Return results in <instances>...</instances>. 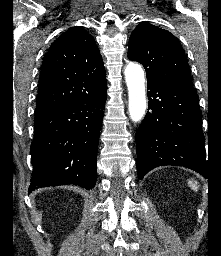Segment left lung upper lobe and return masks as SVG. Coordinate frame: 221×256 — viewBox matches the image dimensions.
Here are the masks:
<instances>
[{"label":"left lung upper lobe","mask_w":221,"mask_h":256,"mask_svg":"<svg viewBox=\"0 0 221 256\" xmlns=\"http://www.w3.org/2000/svg\"><path fill=\"white\" fill-rule=\"evenodd\" d=\"M128 58L144 66L147 82L192 86L184 50L178 39L164 29L139 23L129 38Z\"/></svg>","instance_id":"left-lung-upper-lobe-1"}]
</instances>
